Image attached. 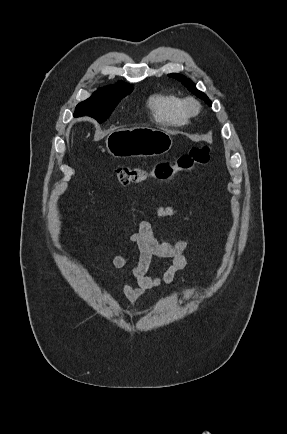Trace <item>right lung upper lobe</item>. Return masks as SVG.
Listing matches in <instances>:
<instances>
[{
  "label": "right lung upper lobe",
  "mask_w": 287,
  "mask_h": 434,
  "mask_svg": "<svg viewBox=\"0 0 287 434\" xmlns=\"http://www.w3.org/2000/svg\"><path fill=\"white\" fill-rule=\"evenodd\" d=\"M118 85H125V84L120 82Z\"/></svg>",
  "instance_id": "cb5924a9"
}]
</instances>
